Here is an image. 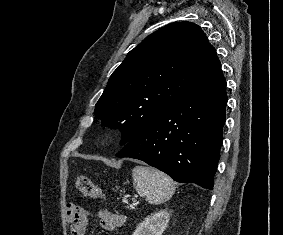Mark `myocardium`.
Here are the masks:
<instances>
[{
	"label": "myocardium",
	"mask_w": 283,
	"mask_h": 235,
	"mask_svg": "<svg viewBox=\"0 0 283 235\" xmlns=\"http://www.w3.org/2000/svg\"><path fill=\"white\" fill-rule=\"evenodd\" d=\"M113 137H114V132H113V131H108V132H106L105 135H104V139H105V140H110V139H112Z\"/></svg>",
	"instance_id": "f54148a6"
}]
</instances>
